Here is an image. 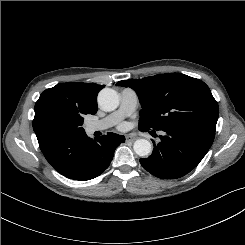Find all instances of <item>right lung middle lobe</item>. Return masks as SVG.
<instances>
[{
  "label": "right lung middle lobe",
  "instance_id": "1",
  "mask_svg": "<svg viewBox=\"0 0 245 245\" xmlns=\"http://www.w3.org/2000/svg\"><path fill=\"white\" fill-rule=\"evenodd\" d=\"M40 124L58 137L76 136L84 133L83 117L57 100L44 102L39 109Z\"/></svg>",
  "mask_w": 245,
  "mask_h": 245
}]
</instances>
